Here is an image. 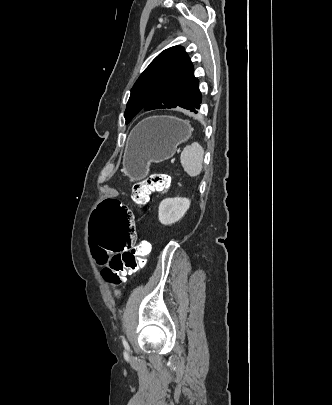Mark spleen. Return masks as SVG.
Wrapping results in <instances>:
<instances>
[{
    "mask_svg": "<svg viewBox=\"0 0 332 405\" xmlns=\"http://www.w3.org/2000/svg\"><path fill=\"white\" fill-rule=\"evenodd\" d=\"M204 149L198 142L187 145L181 153V164L191 177L198 176L203 168Z\"/></svg>",
    "mask_w": 332,
    "mask_h": 405,
    "instance_id": "3e777b00",
    "label": "spleen"
}]
</instances>
